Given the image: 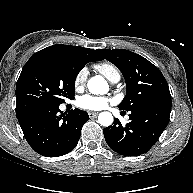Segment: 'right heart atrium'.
Returning <instances> with one entry per match:
<instances>
[{"label": "right heart atrium", "mask_w": 193, "mask_h": 193, "mask_svg": "<svg viewBox=\"0 0 193 193\" xmlns=\"http://www.w3.org/2000/svg\"><path fill=\"white\" fill-rule=\"evenodd\" d=\"M87 76H88V70L85 67L81 68L77 72L74 78V85L77 89H81L85 86Z\"/></svg>", "instance_id": "1"}]
</instances>
